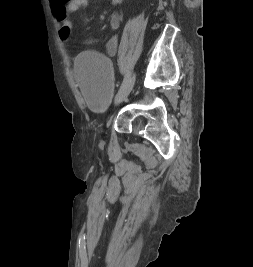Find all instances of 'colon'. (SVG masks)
<instances>
[{
	"mask_svg": "<svg viewBox=\"0 0 253 267\" xmlns=\"http://www.w3.org/2000/svg\"><path fill=\"white\" fill-rule=\"evenodd\" d=\"M59 36L63 42H68L71 37V28L69 26H62L59 31Z\"/></svg>",
	"mask_w": 253,
	"mask_h": 267,
	"instance_id": "obj_1",
	"label": "colon"
}]
</instances>
